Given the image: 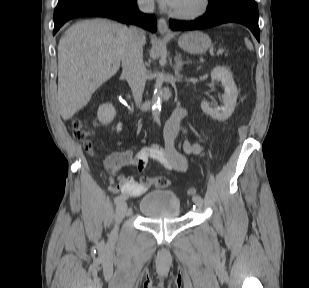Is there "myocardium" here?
I'll list each match as a JSON object with an SVG mask.
<instances>
[{
  "label": "myocardium",
  "instance_id": "myocardium-1",
  "mask_svg": "<svg viewBox=\"0 0 309 288\" xmlns=\"http://www.w3.org/2000/svg\"><path fill=\"white\" fill-rule=\"evenodd\" d=\"M210 0H201L200 1V7L191 12H184V11H175L171 10L170 14L176 18L184 19V20H193L202 17L205 15L209 8H210Z\"/></svg>",
  "mask_w": 309,
  "mask_h": 288
}]
</instances>
